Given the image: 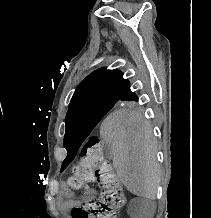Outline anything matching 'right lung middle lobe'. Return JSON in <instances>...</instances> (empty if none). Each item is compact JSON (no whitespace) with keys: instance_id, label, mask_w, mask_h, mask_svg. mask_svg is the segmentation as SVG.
<instances>
[{"instance_id":"right-lung-middle-lobe-1","label":"right lung middle lobe","mask_w":211,"mask_h":218,"mask_svg":"<svg viewBox=\"0 0 211 218\" xmlns=\"http://www.w3.org/2000/svg\"><path fill=\"white\" fill-rule=\"evenodd\" d=\"M137 102V98L93 100L70 107L64 142H82L110 110L133 109Z\"/></svg>"}]
</instances>
